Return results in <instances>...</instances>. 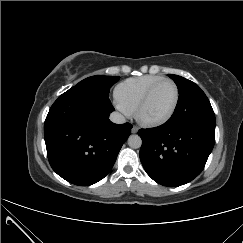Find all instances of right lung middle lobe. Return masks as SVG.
Wrapping results in <instances>:
<instances>
[{"label":"right lung middle lobe","mask_w":243,"mask_h":243,"mask_svg":"<svg viewBox=\"0 0 243 243\" xmlns=\"http://www.w3.org/2000/svg\"><path fill=\"white\" fill-rule=\"evenodd\" d=\"M119 78V76L96 75L80 81L74 88L91 89L101 95L109 97L111 86L115 84Z\"/></svg>","instance_id":"obj_1"}]
</instances>
